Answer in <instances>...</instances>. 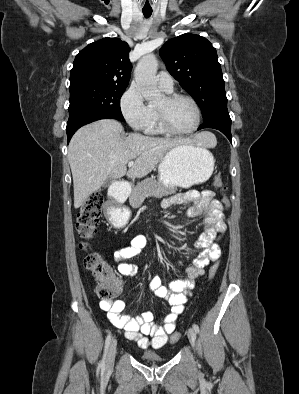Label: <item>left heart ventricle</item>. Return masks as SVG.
I'll list each match as a JSON object with an SVG mask.
<instances>
[{
    "label": "left heart ventricle",
    "instance_id": "left-heart-ventricle-1",
    "mask_svg": "<svg viewBox=\"0 0 299 394\" xmlns=\"http://www.w3.org/2000/svg\"><path fill=\"white\" fill-rule=\"evenodd\" d=\"M156 107L164 109L171 126L179 131L191 129L196 122V112L193 105L185 100L179 99L173 103L167 104L162 98Z\"/></svg>",
    "mask_w": 299,
    "mask_h": 394
}]
</instances>
